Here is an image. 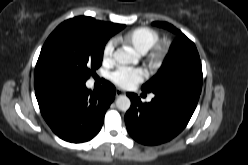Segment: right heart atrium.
<instances>
[{
  "mask_svg": "<svg viewBox=\"0 0 248 165\" xmlns=\"http://www.w3.org/2000/svg\"><path fill=\"white\" fill-rule=\"evenodd\" d=\"M116 42L114 40H110L106 43L104 46L103 52H102V59L104 63H111L114 55Z\"/></svg>",
  "mask_w": 248,
  "mask_h": 165,
  "instance_id": "right-heart-atrium-1",
  "label": "right heart atrium"
}]
</instances>
